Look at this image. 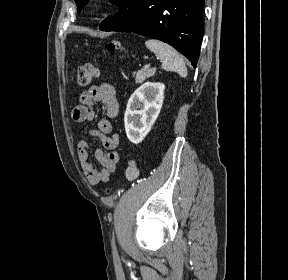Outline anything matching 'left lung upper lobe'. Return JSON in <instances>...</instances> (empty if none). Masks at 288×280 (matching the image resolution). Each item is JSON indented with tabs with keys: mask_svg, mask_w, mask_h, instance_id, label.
I'll list each match as a JSON object with an SVG mask.
<instances>
[{
	"mask_svg": "<svg viewBox=\"0 0 288 280\" xmlns=\"http://www.w3.org/2000/svg\"><path fill=\"white\" fill-rule=\"evenodd\" d=\"M132 0H111V3L117 5L120 7L118 13L123 12L128 5L130 4ZM77 7H78V11L81 10V8L86 4V2L84 0H75Z\"/></svg>",
	"mask_w": 288,
	"mask_h": 280,
	"instance_id": "left-lung-upper-lobe-1",
	"label": "left lung upper lobe"
}]
</instances>
